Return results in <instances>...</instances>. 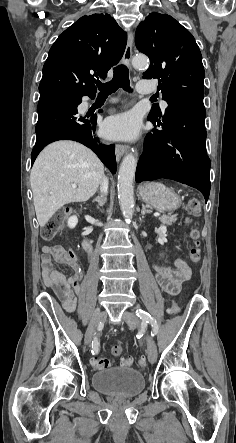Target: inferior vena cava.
Listing matches in <instances>:
<instances>
[{"mask_svg": "<svg viewBox=\"0 0 236 443\" xmlns=\"http://www.w3.org/2000/svg\"><path fill=\"white\" fill-rule=\"evenodd\" d=\"M100 191L102 194L106 195L108 192V179L103 176L100 182Z\"/></svg>", "mask_w": 236, "mask_h": 443, "instance_id": "602c4592", "label": "inferior vena cava"}]
</instances>
